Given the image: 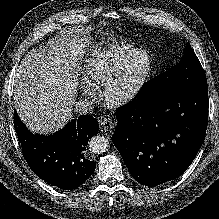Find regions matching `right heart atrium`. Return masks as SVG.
Returning a JSON list of instances; mask_svg holds the SVG:
<instances>
[{
	"instance_id": "right-heart-atrium-1",
	"label": "right heart atrium",
	"mask_w": 219,
	"mask_h": 219,
	"mask_svg": "<svg viewBox=\"0 0 219 219\" xmlns=\"http://www.w3.org/2000/svg\"><path fill=\"white\" fill-rule=\"evenodd\" d=\"M81 94L87 99H93L95 96L94 90L88 86L82 87Z\"/></svg>"
}]
</instances>
